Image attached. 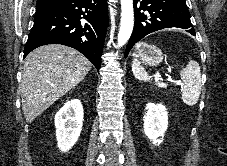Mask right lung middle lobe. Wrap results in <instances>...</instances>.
<instances>
[{"label": "right lung middle lobe", "instance_id": "dd1d6c3e", "mask_svg": "<svg viewBox=\"0 0 227 166\" xmlns=\"http://www.w3.org/2000/svg\"><path fill=\"white\" fill-rule=\"evenodd\" d=\"M42 8H44V7H36V10H39V9H42Z\"/></svg>", "mask_w": 227, "mask_h": 166}]
</instances>
